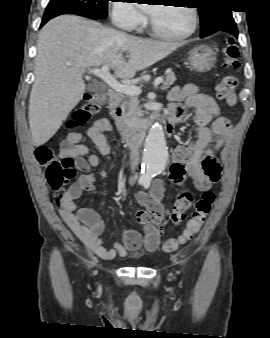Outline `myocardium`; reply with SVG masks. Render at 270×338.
Returning <instances> with one entry per match:
<instances>
[{
	"label": "myocardium",
	"mask_w": 270,
	"mask_h": 338,
	"mask_svg": "<svg viewBox=\"0 0 270 338\" xmlns=\"http://www.w3.org/2000/svg\"><path fill=\"white\" fill-rule=\"evenodd\" d=\"M187 8L190 10V12L192 14V27L189 31H187L185 33H181V34L164 33L156 27L154 20L152 19L151 15L149 14L148 19H149V26H150L151 33L156 37H159V38H162V39H167V40H182V39H186V38L192 36L198 28V12L195 8H193L189 5H187Z\"/></svg>",
	"instance_id": "1"
}]
</instances>
